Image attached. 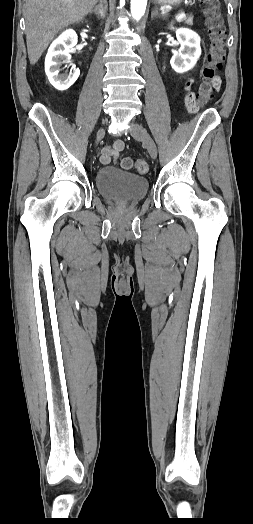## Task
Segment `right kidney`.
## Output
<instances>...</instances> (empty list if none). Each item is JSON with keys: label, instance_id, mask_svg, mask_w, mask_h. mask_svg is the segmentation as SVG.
<instances>
[{"label": "right kidney", "instance_id": "ca27d5eb", "mask_svg": "<svg viewBox=\"0 0 253 524\" xmlns=\"http://www.w3.org/2000/svg\"><path fill=\"white\" fill-rule=\"evenodd\" d=\"M77 44V35L72 29L64 31L48 49L45 72L50 83L60 91L67 90L77 80L80 70L74 65L69 74H60V67L69 63L71 49Z\"/></svg>", "mask_w": 253, "mask_h": 524}]
</instances>
